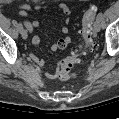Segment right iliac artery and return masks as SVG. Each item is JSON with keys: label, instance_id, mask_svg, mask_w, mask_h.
<instances>
[{"label": "right iliac artery", "instance_id": "right-iliac-artery-1", "mask_svg": "<svg viewBox=\"0 0 119 119\" xmlns=\"http://www.w3.org/2000/svg\"><path fill=\"white\" fill-rule=\"evenodd\" d=\"M18 29H19V31H21L23 29V26L21 23L18 24Z\"/></svg>", "mask_w": 119, "mask_h": 119}]
</instances>
